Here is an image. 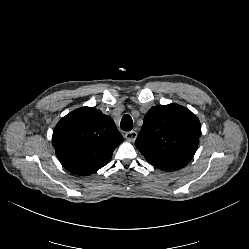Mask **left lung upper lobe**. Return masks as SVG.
Listing matches in <instances>:
<instances>
[{
	"label": "left lung upper lobe",
	"instance_id": "obj_1",
	"mask_svg": "<svg viewBox=\"0 0 249 249\" xmlns=\"http://www.w3.org/2000/svg\"><path fill=\"white\" fill-rule=\"evenodd\" d=\"M201 136L198 118L178 104L152 107L135 146L145 159L158 169L175 171L193 158Z\"/></svg>",
	"mask_w": 249,
	"mask_h": 249
}]
</instances>
